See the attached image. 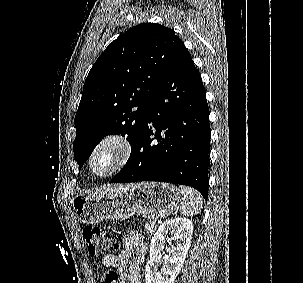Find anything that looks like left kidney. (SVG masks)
I'll use <instances>...</instances> for the list:
<instances>
[{"mask_svg": "<svg viewBox=\"0 0 303 283\" xmlns=\"http://www.w3.org/2000/svg\"><path fill=\"white\" fill-rule=\"evenodd\" d=\"M193 224L187 218L167 220L157 230L150 242V260L145 268L146 283H174L185 261L192 239ZM173 234L176 245L168 249L169 256L161 272L158 267L164 243L170 241L168 234Z\"/></svg>", "mask_w": 303, "mask_h": 283, "instance_id": "obj_1", "label": "left kidney"}]
</instances>
